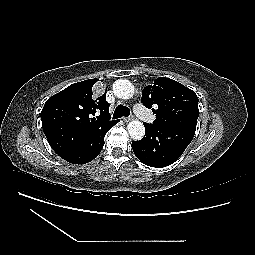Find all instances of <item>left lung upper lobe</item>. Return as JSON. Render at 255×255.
Segmentation results:
<instances>
[{
    "instance_id": "obj_1",
    "label": "left lung upper lobe",
    "mask_w": 255,
    "mask_h": 255,
    "mask_svg": "<svg viewBox=\"0 0 255 255\" xmlns=\"http://www.w3.org/2000/svg\"><path fill=\"white\" fill-rule=\"evenodd\" d=\"M141 100L156 116L153 125L195 132L199 109L193 90L170 78L159 77L143 89Z\"/></svg>"
}]
</instances>
